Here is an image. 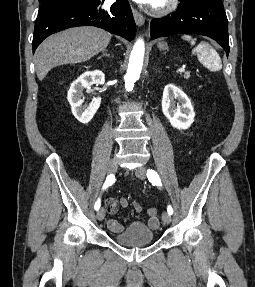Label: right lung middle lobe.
<instances>
[{
    "mask_svg": "<svg viewBox=\"0 0 255 287\" xmlns=\"http://www.w3.org/2000/svg\"><path fill=\"white\" fill-rule=\"evenodd\" d=\"M41 2L39 12L49 7L69 5V4H88L97 3L100 4V0H39Z\"/></svg>",
    "mask_w": 255,
    "mask_h": 287,
    "instance_id": "1",
    "label": "right lung middle lobe"
}]
</instances>
